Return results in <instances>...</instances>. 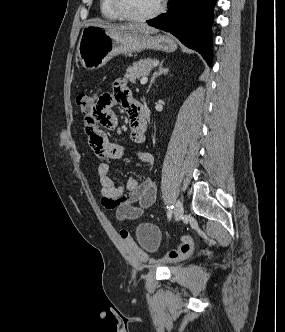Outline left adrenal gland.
<instances>
[{
	"mask_svg": "<svg viewBox=\"0 0 285 332\" xmlns=\"http://www.w3.org/2000/svg\"><path fill=\"white\" fill-rule=\"evenodd\" d=\"M163 63H164V60L161 61V63L159 64V67H158V70L152 75L151 77V80H150V84H149V87H148V91L150 90V88L152 87V85L154 84L155 82V79L162 75V74H167L168 72V68H164L163 67Z\"/></svg>",
	"mask_w": 285,
	"mask_h": 332,
	"instance_id": "a2214340",
	"label": "left adrenal gland"
}]
</instances>
